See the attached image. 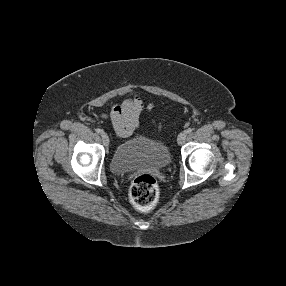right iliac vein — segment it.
Returning <instances> with one entry per match:
<instances>
[{
	"instance_id": "63e3f726",
	"label": "right iliac vein",
	"mask_w": 286,
	"mask_h": 286,
	"mask_svg": "<svg viewBox=\"0 0 286 286\" xmlns=\"http://www.w3.org/2000/svg\"><path fill=\"white\" fill-rule=\"evenodd\" d=\"M101 139L103 141V144L108 147L109 146V136L107 135L106 132L101 133Z\"/></svg>"
}]
</instances>
